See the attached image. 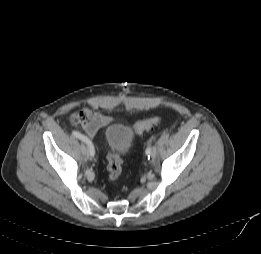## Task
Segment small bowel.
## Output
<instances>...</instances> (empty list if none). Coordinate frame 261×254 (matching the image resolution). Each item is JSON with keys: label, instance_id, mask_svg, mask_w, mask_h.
I'll return each mask as SVG.
<instances>
[{"label": "small bowel", "instance_id": "small-bowel-1", "mask_svg": "<svg viewBox=\"0 0 261 254\" xmlns=\"http://www.w3.org/2000/svg\"><path fill=\"white\" fill-rule=\"evenodd\" d=\"M111 121V117L91 108H84L70 115V122L80 126L90 138H93L100 128L108 125Z\"/></svg>", "mask_w": 261, "mask_h": 254}]
</instances>
